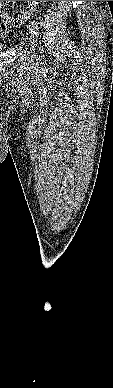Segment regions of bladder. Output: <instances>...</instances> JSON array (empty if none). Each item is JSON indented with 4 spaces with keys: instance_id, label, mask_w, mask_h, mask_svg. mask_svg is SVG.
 I'll return each instance as SVG.
<instances>
[{
    "instance_id": "obj_1",
    "label": "bladder",
    "mask_w": 113,
    "mask_h": 388,
    "mask_svg": "<svg viewBox=\"0 0 113 388\" xmlns=\"http://www.w3.org/2000/svg\"><path fill=\"white\" fill-rule=\"evenodd\" d=\"M4 49V45L2 43H0V52H2Z\"/></svg>"
}]
</instances>
